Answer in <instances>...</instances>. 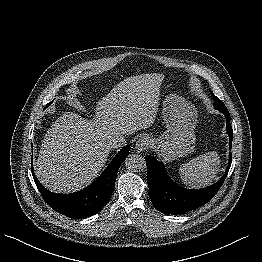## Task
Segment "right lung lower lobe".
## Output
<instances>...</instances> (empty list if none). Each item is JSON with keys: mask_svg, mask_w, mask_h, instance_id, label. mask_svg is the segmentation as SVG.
<instances>
[{"mask_svg": "<svg viewBox=\"0 0 262 262\" xmlns=\"http://www.w3.org/2000/svg\"><path fill=\"white\" fill-rule=\"evenodd\" d=\"M129 150L130 146H125L121 149L108 167L91 185L71 194H56L43 187L34 174L32 162L31 171L39 192L52 209L74 219L90 217L101 211L110 200L118 169L128 156Z\"/></svg>", "mask_w": 262, "mask_h": 262, "instance_id": "obj_1", "label": "right lung lower lobe"}]
</instances>
